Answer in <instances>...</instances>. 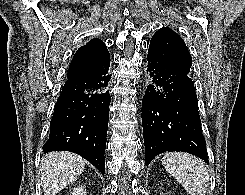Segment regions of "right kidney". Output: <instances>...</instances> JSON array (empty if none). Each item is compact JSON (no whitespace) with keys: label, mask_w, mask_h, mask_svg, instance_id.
Returning a JSON list of instances; mask_svg holds the SVG:
<instances>
[{"label":"right kidney","mask_w":245,"mask_h":195,"mask_svg":"<svg viewBox=\"0 0 245 195\" xmlns=\"http://www.w3.org/2000/svg\"><path fill=\"white\" fill-rule=\"evenodd\" d=\"M86 189L84 186H79L77 188H74L71 192V195H87Z\"/></svg>","instance_id":"ca27d5eb"}]
</instances>
